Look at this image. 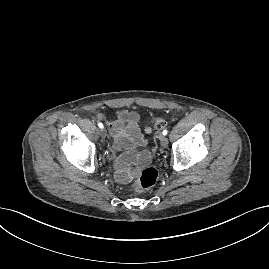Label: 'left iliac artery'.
<instances>
[{
	"mask_svg": "<svg viewBox=\"0 0 269 269\" xmlns=\"http://www.w3.org/2000/svg\"><path fill=\"white\" fill-rule=\"evenodd\" d=\"M167 133H168V130H163V135H167Z\"/></svg>",
	"mask_w": 269,
	"mask_h": 269,
	"instance_id": "left-iliac-artery-1",
	"label": "left iliac artery"
}]
</instances>
